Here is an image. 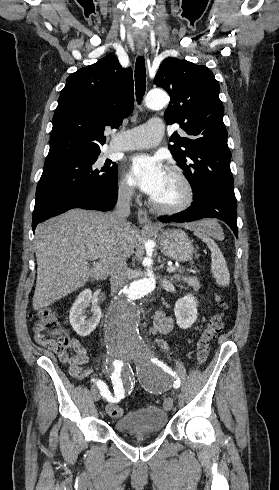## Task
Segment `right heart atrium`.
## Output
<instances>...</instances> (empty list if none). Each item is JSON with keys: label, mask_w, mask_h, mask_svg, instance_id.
I'll list each match as a JSON object with an SVG mask.
<instances>
[{"label": "right heart atrium", "mask_w": 279, "mask_h": 490, "mask_svg": "<svg viewBox=\"0 0 279 490\" xmlns=\"http://www.w3.org/2000/svg\"><path fill=\"white\" fill-rule=\"evenodd\" d=\"M116 193L120 200L128 201L133 198L135 192L128 181L123 176H119L116 182Z\"/></svg>", "instance_id": "obj_1"}]
</instances>
